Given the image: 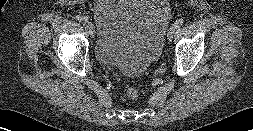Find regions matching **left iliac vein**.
<instances>
[{
  "instance_id": "left-iliac-vein-1",
  "label": "left iliac vein",
  "mask_w": 253,
  "mask_h": 131,
  "mask_svg": "<svg viewBox=\"0 0 253 131\" xmlns=\"http://www.w3.org/2000/svg\"><path fill=\"white\" fill-rule=\"evenodd\" d=\"M176 27L173 25V26H171L170 28H169V30H168V32H167V39L169 40V41H171L172 40V38H173V36H174V34H175V32H176Z\"/></svg>"
}]
</instances>
